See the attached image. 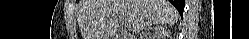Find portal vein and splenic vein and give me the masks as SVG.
<instances>
[{"mask_svg":"<svg viewBox=\"0 0 249 39\" xmlns=\"http://www.w3.org/2000/svg\"><path fill=\"white\" fill-rule=\"evenodd\" d=\"M125 27H128V24L127 23H125V25H124Z\"/></svg>","mask_w":249,"mask_h":39,"instance_id":"obj_1","label":"portal vein and splenic vein"}]
</instances>
